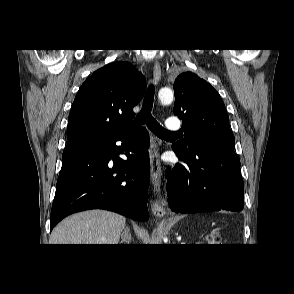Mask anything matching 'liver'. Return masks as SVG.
<instances>
[{
	"label": "liver",
	"instance_id": "6515ba94",
	"mask_svg": "<svg viewBox=\"0 0 294 294\" xmlns=\"http://www.w3.org/2000/svg\"><path fill=\"white\" fill-rule=\"evenodd\" d=\"M126 218L104 210L74 214L52 231L51 244H118Z\"/></svg>",
	"mask_w": 294,
	"mask_h": 294
}]
</instances>
